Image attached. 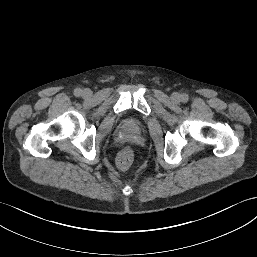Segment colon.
Masks as SVG:
<instances>
[{
	"label": "colon",
	"instance_id": "5ec220e1",
	"mask_svg": "<svg viewBox=\"0 0 257 257\" xmlns=\"http://www.w3.org/2000/svg\"><path fill=\"white\" fill-rule=\"evenodd\" d=\"M133 161V152L131 149L126 148L120 152L117 158V166L121 170H127Z\"/></svg>",
	"mask_w": 257,
	"mask_h": 257
}]
</instances>
